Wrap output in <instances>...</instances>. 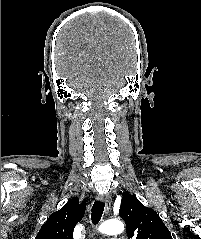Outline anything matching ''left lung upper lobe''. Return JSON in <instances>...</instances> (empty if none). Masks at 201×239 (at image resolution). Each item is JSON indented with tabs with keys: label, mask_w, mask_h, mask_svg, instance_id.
Segmentation results:
<instances>
[{
	"label": "left lung upper lobe",
	"mask_w": 201,
	"mask_h": 239,
	"mask_svg": "<svg viewBox=\"0 0 201 239\" xmlns=\"http://www.w3.org/2000/svg\"><path fill=\"white\" fill-rule=\"evenodd\" d=\"M120 217L129 239H172L156 211L144 206L134 195L121 193Z\"/></svg>",
	"instance_id": "5c2ea615"
}]
</instances>
